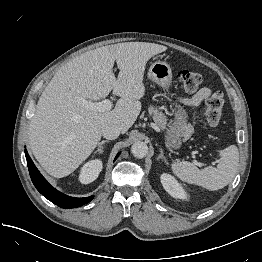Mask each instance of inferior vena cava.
Listing matches in <instances>:
<instances>
[{"label":"inferior vena cava","mask_w":262,"mask_h":262,"mask_svg":"<svg viewBox=\"0 0 262 262\" xmlns=\"http://www.w3.org/2000/svg\"><path fill=\"white\" fill-rule=\"evenodd\" d=\"M101 134L104 138L113 140L120 135V128L115 124H106L102 127Z\"/></svg>","instance_id":"602c4592"}]
</instances>
